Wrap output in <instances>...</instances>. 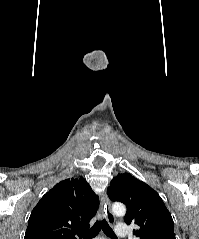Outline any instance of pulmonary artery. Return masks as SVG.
Listing matches in <instances>:
<instances>
[{
  "label": "pulmonary artery",
  "instance_id": "obj_1",
  "mask_svg": "<svg viewBox=\"0 0 199 239\" xmlns=\"http://www.w3.org/2000/svg\"><path fill=\"white\" fill-rule=\"evenodd\" d=\"M115 233L119 238H126L129 234L128 226L126 224L115 225Z\"/></svg>",
  "mask_w": 199,
  "mask_h": 239
}]
</instances>
